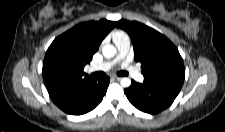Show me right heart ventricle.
I'll return each instance as SVG.
<instances>
[{
    "label": "right heart ventricle",
    "mask_w": 225,
    "mask_h": 132,
    "mask_svg": "<svg viewBox=\"0 0 225 132\" xmlns=\"http://www.w3.org/2000/svg\"><path fill=\"white\" fill-rule=\"evenodd\" d=\"M124 37H127V35L123 31H115L113 33V39H114V41H116L118 39H121V38H124Z\"/></svg>",
    "instance_id": "right-heart-ventricle-1"
}]
</instances>
